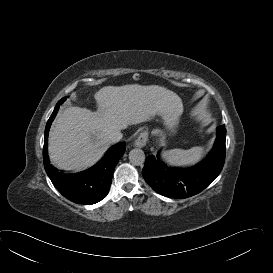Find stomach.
<instances>
[{"label": "stomach", "instance_id": "stomach-1", "mask_svg": "<svg viewBox=\"0 0 273 273\" xmlns=\"http://www.w3.org/2000/svg\"><path fill=\"white\" fill-rule=\"evenodd\" d=\"M161 116H162V120L164 124L168 128L173 127L178 122V119H179V113H175V112L162 113Z\"/></svg>", "mask_w": 273, "mask_h": 273}]
</instances>
